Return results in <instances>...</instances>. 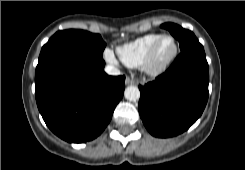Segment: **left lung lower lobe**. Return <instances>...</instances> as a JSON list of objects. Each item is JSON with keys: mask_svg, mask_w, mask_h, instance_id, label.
<instances>
[{"mask_svg": "<svg viewBox=\"0 0 245 170\" xmlns=\"http://www.w3.org/2000/svg\"><path fill=\"white\" fill-rule=\"evenodd\" d=\"M205 55L181 52L155 81L139 86V113L147 130L167 138L186 131L201 116L208 100Z\"/></svg>", "mask_w": 245, "mask_h": 170, "instance_id": "obj_1", "label": "left lung lower lobe"}]
</instances>
